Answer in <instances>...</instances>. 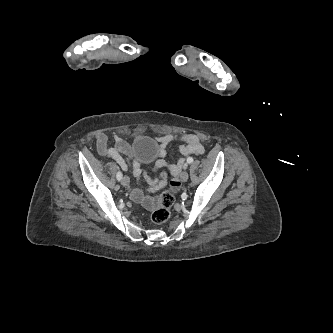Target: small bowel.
I'll return each instance as SVG.
<instances>
[{
	"instance_id": "c3829d8e",
	"label": "small bowel",
	"mask_w": 333,
	"mask_h": 333,
	"mask_svg": "<svg viewBox=\"0 0 333 333\" xmlns=\"http://www.w3.org/2000/svg\"><path fill=\"white\" fill-rule=\"evenodd\" d=\"M158 142L160 145L158 160L155 163L156 169L165 168L166 171L172 176L170 186L176 189L179 186L178 177L182 170L186 167L187 158L192 155H201L205 152L204 146L201 144L199 137L192 133H182L180 135H162L159 136ZM114 145L109 146V138L105 133H99L96 136L97 151L101 156L110 157L115 160L124 171L130 170L134 177L138 180L145 177L141 168V161L132 153L130 145L120 136L113 137ZM174 141H180L182 144L179 146V153L181 158L175 164H169L164 159L166 150L169 145ZM151 182L150 178H147ZM160 185L166 184V174L159 181ZM131 198L138 203H143L146 206L154 204V198L146 195L141 188L137 187L131 191Z\"/></svg>"
}]
</instances>
